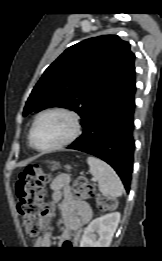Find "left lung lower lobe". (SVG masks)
Listing matches in <instances>:
<instances>
[{
	"label": "left lung lower lobe",
	"mask_w": 162,
	"mask_h": 261,
	"mask_svg": "<svg viewBox=\"0 0 162 261\" xmlns=\"http://www.w3.org/2000/svg\"><path fill=\"white\" fill-rule=\"evenodd\" d=\"M135 75L92 112L82 125L83 133L70 146L110 164L129 191L135 143Z\"/></svg>",
	"instance_id": "1"
}]
</instances>
